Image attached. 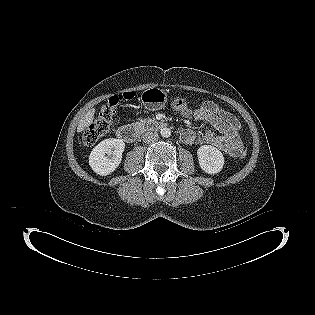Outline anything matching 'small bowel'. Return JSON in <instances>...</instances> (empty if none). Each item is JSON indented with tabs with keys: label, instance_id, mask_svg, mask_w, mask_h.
Listing matches in <instances>:
<instances>
[{
	"label": "small bowel",
	"instance_id": "obj_1",
	"mask_svg": "<svg viewBox=\"0 0 315 315\" xmlns=\"http://www.w3.org/2000/svg\"><path fill=\"white\" fill-rule=\"evenodd\" d=\"M183 117L194 118L208 123L212 129L198 135L192 129L184 128L180 131V138L186 145H212L230 156H238L243 149L239 135L240 123L230 112L221 108L213 101H203L198 108L188 107L176 110Z\"/></svg>",
	"mask_w": 315,
	"mask_h": 315
}]
</instances>
